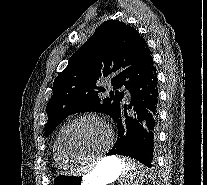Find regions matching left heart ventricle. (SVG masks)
Listing matches in <instances>:
<instances>
[{
  "instance_id": "b2bd125f",
  "label": "left heart ventricle",
  "mask_w": 207,
  "mask_h": 185,
  "mask_svg": "<svg viewBox=\"0 0 207 185\" xmlns=\"http://www.w3.org/2000/svg\"><path fill=\"white\" fill-rule=\"evenodd\" d=\"M108 128L97 120L77 123L69 134V146L76 154L96 153L104 150L110 140Z\"/></svg>"
}]
</instances>
